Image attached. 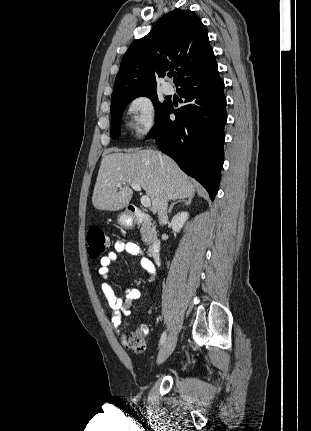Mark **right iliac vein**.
Segmentation results:
<instances>
[{"mask_svg": "<svg viewBox=\"0 0 311 431\" xmlns=\"http://www.w3.org/2000/svg\"><path fill=\"white\" fill-rule=\"evenodd\" d=\"M177 342V333L175 331H173L169 337L167 338V340L165 341L163 347L161 348L158 358H157V363L161 364L162 362H164L173 352L175 345Z\"/></svg>", "mask_w": 311, "mask_h": 431, "instance_id": "63e3f726", "label": "right iliac vein"}]
</instances>
